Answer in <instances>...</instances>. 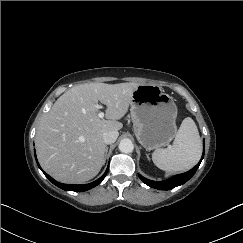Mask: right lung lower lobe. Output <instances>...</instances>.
Returning a JSON list of instances; mask_svg holds the SVG:
<instances>
[{
    "mask_svg": "<svg viewBox=\"0 0 243 243\" xmlns=\"http://www.w3.org/2000/svg\"><path fill=\"white\" fill-rule=\"evenodd\" d=\"M35 158H36V153H35ZM37 161V159H36ZM37 164L39 166V168L41 169L38 161H37ZM108 169L109 167L107 168L106 172L99 178L97 179L96 181L92 182V183H89V184H84V185H74V184H62V183H59L57 181H55L52 177H50L48 174H46L42 169L43 173L45 174V176L54 184L56 185L57 187L63 189V190H66V191H77V192H84V191H87L97 185H99L102 180L105 178L107 172H108Z\"/></svg>",
    "mask_w": 243,
    "mask_h": 243,
    "instance_id": "98d812e1",
    "label": "right lung lower lobe"
}]
</instances>
